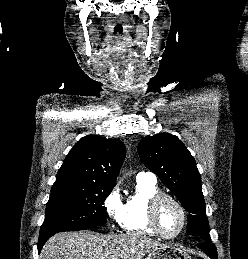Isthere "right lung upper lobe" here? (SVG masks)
<instances>
[{"label": "right lung upper lobe", "mask_w": 248, "mask_h": 259, "mask_svg": "<svg viewBox=\"0 0 248 259\" xmlns=\"http://www.w3.org/2000/svg\"><path fill=\"white\" fill-rule=\"evenodd\" d=\"M125 152L123 142L118 139L88 135L69 151L53 186H115Z\"/></svg>", "instance_id": "right-lung-upper-lobe-1"}]
</instances>
